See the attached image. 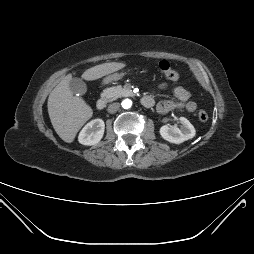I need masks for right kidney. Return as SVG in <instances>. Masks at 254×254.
Returning <instances> with one entry per match:
<instances>
[{
  "label": "right kidney",
  "instance_id": "ca27d5eb",
  "mask_svg": "<svg viewBox=\"0 0 254 254\" xmlns=\"http://www.w3.org/2000/svg\"><path fill=\"white\" fill-rule=\"evenodd\" d=\"M105 123L102 119H94L87 123L78 136L79 143L83 145H94L100 142L104 135Z\"/></svg>",
  "mask_w": 254,
  "mask_h": 254
}]
</instances>
